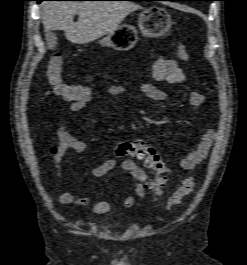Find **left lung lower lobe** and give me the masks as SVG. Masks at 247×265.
<instances>
[{
	"instance_id": "left-lung-lower-lobe-1",
	"label": "left lung lower lobe",
	"mask_w": 247,
	"mask_h": 265,
	"mask_svg": "<svg viewBox=\"0 0 247 265\" xmlns=\"http://www.w3.org/2000/svg\"><path fill=\"white\" fill-rule=\"evenodd\" d=\"M144 1H153V0H144ZM166 1H201V0H166Z\"/></svg>"
}]
</instances>
